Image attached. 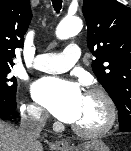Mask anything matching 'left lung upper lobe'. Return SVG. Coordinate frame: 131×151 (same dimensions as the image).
Returning <instances> with one entry per match:
<instances>
[{
    "mask_svg": "<svg viewBox=\"0 0 131 151\" xmlns=\"http://www.w3.org/2000/svg\"><path fill=\"white\" fill-rule=\"evenodd\" d=\"M92 70L118 109L120 129L131 127V8L116 0H84Z\"/></svg>",
    "mask_w": 131,
    "mask_h": 151,
    "instance_id": "5c2ea615",
    "label": "left lung upper lobe"
}]
</instances>
